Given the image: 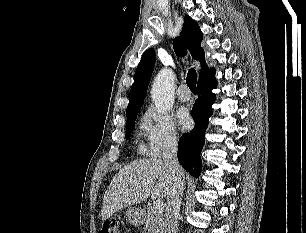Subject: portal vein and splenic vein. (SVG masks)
<instances>
[{
	"label": "portal vein and splenic vein",
	"mask_w": 306,
	"mask_h": 233,
	"mask_svg": "<svg viewBox=\"0 0 306 233\" xmlns=\"http://www.w3.org/2000/svg\"><path fill=\"white\" fill-rule=\"evenodd\" d=\"M162 207H163V200L157 199V200L154 201V203H153V208L154 209L161 210Z\"/></svg>",
	"instance_id": "1"
}]
</instances>
